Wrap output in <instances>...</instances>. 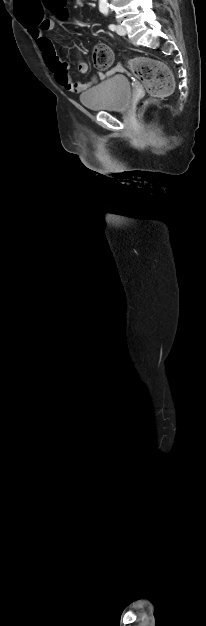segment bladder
I'll return each mask as SVG.
<instances>
[{"mask_svg":"<svg viewBox=\"0 0 206 626\" xmlns=\"http://www.w3.org/2000/svg\"><path fill=\"white\" fill-rule=\"evenodd\" d=\"M131 98L129 80L123 75H114L83 93L80 102L91 111H123Z\"/></svg>","mask_w":206,"mask_h":626,"instance_id":"1","label":"bladder"}]
</instances>
